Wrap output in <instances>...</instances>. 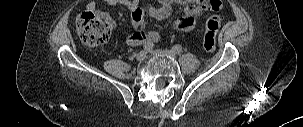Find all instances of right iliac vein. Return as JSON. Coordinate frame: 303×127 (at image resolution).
Returning a JSON list of instances; mask_svg holds the SVG:
<instances>
[{"label": "right iliac vein", "mask_w": 303, "mask_h": 127, "mask_svg": "<svg viewBox=\"0 0 303 127\" xmlns=\"http://www.w3.org/2000/svg\"><path fill=\"white\" fill-rule=\"evenodd\" d=\"M146 59V52L145 51H141L136 55V60L139 62H142Z\"/></svg>", "instance_id": "right-iliac-vein-1"}]
</instances>
